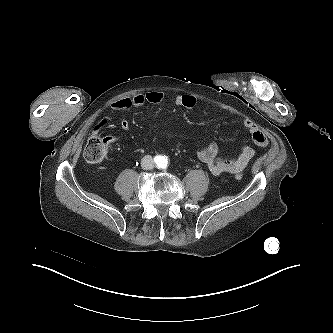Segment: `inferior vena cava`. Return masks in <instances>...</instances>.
<instances>
[{
    "instance_id": "inferior-vena-cava-1",
    "label": "inferior vena cava",
    "mask_w": 333,
    "mask_h": 333,
    "mask_svg": "<svg viewBox=\"0 0 333 333\" xmlns=\"http://www.w3.org/2000/svg\"><path fill=\"white\" fill-rule=\"evenodd\" d=\"M154 166L153 164V158L150 155H146L142 159V167L146 170L152 169Z\"/></svg>"
}]
</instances>
